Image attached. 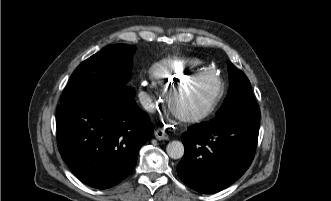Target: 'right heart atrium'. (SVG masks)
Wrapping results in <instances>:
<instances>
[{
    "instance_id": "1",
    "label": "right heart atrium",
    "mask_w": 331,
    "mask_h": 201,
    "mask_svg": "<svg viewBox=\"0 0 331 201\" xmlns=\"http://www.w3.org/2000/svg\"><path fill=\"white\" fill-rule=\"evenodd\" d=\"M140 99L146 109H154L158 105L159 92L156 85L150 81H143L139 85Z\"/></svg>"
}]
</instances>
